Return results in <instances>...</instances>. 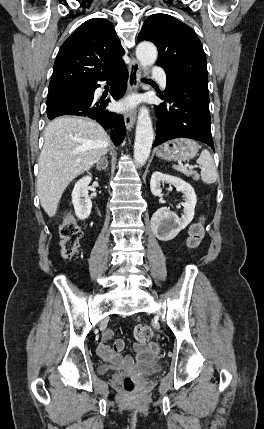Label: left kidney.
Listing matches in <instances>:
<instances>
[{"label":"left kidney","mask_w":264,"mask_h":429,"mask_svg":"<svg viewBox=\"0 0 264 429\" xmlns=\"http://www.w3.org/2000/svg\"><path fill=\"white\" fill-rule=\"evenodd\" d=\"M161 182L173 185L185 197V202L182 203L184 213L181 218L166 207L159 208L151 218L150 224L154 235L161 241H169L192 221L197 198L194 188L189 183L179 177L159 171L154 172L151 176L150 188L154 196L161 194Z\"/></svg>","instance_id":"left-kidney-1"}]
</instances>
